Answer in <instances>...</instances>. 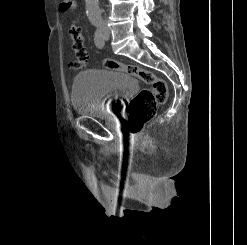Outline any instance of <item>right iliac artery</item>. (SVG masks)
I'll return each instance as SVG.
<instances>
[{
	"label": "right iliac artery",
	"instance_id": "right-iliac-artery-1",
	"mask_svg": "<svg viewBox=\"0 0 247 245\" xmlns=\"http://www.w3.org/2000/svg\"><path fill=\"white\" fill-rule=\"evenodd\" d=\"M94 42H95V45L99 49H102L104 47L105 41H104V37H103L101 28H98L96 30L95 35H94Z\"/></svg>",
	"mask_w": 247,
	"mask_h": 245
}]
</instances>
